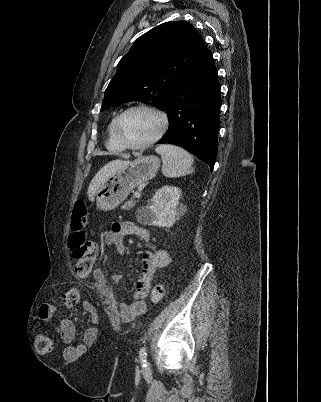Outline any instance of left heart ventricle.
Here are the masks:
<instances>
[{"mask_svg": "<svg viewBox=\"0 0 321 402\" xmlns=\"http://www.w3.org/2000/svg\"><path fill=\"white\" fill-rule=\"evenodd\" d=\"M160 128L159 118L145 110L129 112L121 121L122 137L131 144H141L156 135Z\"/></svg>", "mask_w": 321, "mask_h": 402, "instance_id": "b2bd125f", "label": "left heart ventricle"}]
</instances>
